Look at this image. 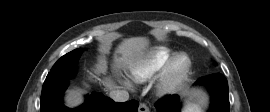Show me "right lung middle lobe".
Returning <instances> with one entry per match:
<instances>
[{"mask_svg":"<svg viewBox=\"0 0 270 112\" xmlns=\"http://www.w3.org/2000/svg\"><path fill=\"white\" fill-rule=\"evenodd\" d=\"M83 50L75 49L62 56L48 73L45 82L51 85H60L76 74L77 62Z\"/></svg>","mask_w":270,"mask_h":112,"instance_id":"dd1d6c3e","label":"right lung middle lobe"}]
</instances>
